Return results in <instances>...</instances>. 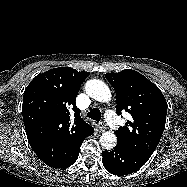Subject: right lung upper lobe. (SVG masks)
<instances>
[{
    "mask_svg": "<svg viewBox=\"0 0 187 187\" xmlns=\"http://www.w3.org/2000/svg\"><path fill=\"white\" fill-rule=\"evenodd\" d=\"M89 72L59 67L40 73L24 91L22 114L29 144L48 166L66 161L74 146L94 132L80 117L76 97ZM75 112L70 121L69 110Z\"/></svg>",
    "mask_w": 187,
    "mask_h": 187,
    "instance_id": "1",
    "label": "right lung upper lobe"
}]
</instances>
